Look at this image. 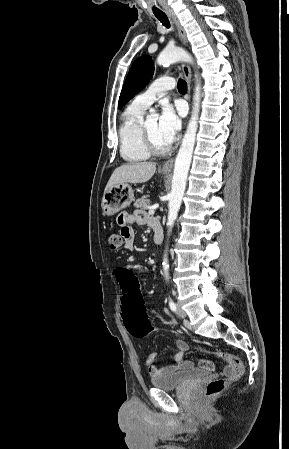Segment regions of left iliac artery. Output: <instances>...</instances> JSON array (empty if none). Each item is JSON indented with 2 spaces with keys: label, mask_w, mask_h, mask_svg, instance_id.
Returning a JSON list of instances; mask_svg holds the SVG:
<instances>
[{
  "label": "left iliac artery",
  "mask_w": 289,
  "mask_h": 449,
  "mask_svg": "<svg viewBox=\"0 0 289 449\" xmlns=\"http://www.w3.org/2000/svg\"><path fill=\"white\" fill-rule=\"evenodd\" d=\"M169 307H170V309L172 310V311H176V304L174 303V301L171 299V298H169Z\"/></svg>",
  "instance_id": "44dca946"
}]
</instances>
